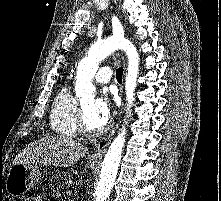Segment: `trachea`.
Listing matches in <instances>:
<instances>
[{
	"label": "trachea",
	"mask_w": 221,
	"mask_h": 201,
	"mask_svg": "<svg viewBox=\"0 0 221 201\" xmlns=\"http://www.w3.org/2000/svg\"><path fill=\"white\" fill-rule=\"evenodd\" d=\"M122 76H123V68L120 67L116 70V79L119 83L122 82Z\"/></svg>",
	"instance_id": "trachea-1"
}]
</instances>
